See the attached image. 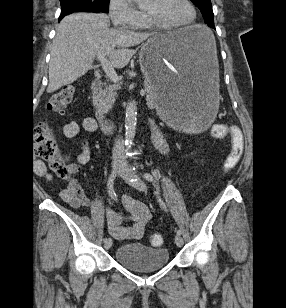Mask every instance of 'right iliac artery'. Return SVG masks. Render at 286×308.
<instances>
[{
  "mask_svg": "<svg viewBox=\"0 0 286 308\" xmlns=\"http://www.w3.org/2000/svg\"><path fill=\"white\" fill-rule=\"evenodd\" d=\"M119 154L121 155V153H119ZM115 177H116V172L113 171V172L111 173L110 177H109V180H108V183H107V187H108V191H109L111 197H112L113 199L116 200L117 197H116V194H115V192H114V190H113V185H114ZM118 203H119V202H118ZM106 240H107V238L105 237V238L103 239V241L105 242Z\"/></svg>",
  "mask_w": 286,
  "mask_h": 308,
  "instance_id": "1",
  "label": "right iliac artery"
}]
</instances>
